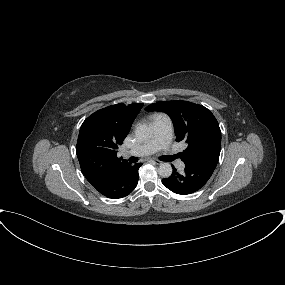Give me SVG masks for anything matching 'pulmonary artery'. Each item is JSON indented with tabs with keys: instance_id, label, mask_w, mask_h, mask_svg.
I'll use <instances>...</instances> for the list:
<instances>
[{
	"instance_id": "obj_1",
	"label": "pulmonary artery",
	"mask_w": 285,
	"mask_h": 285,
	"mask_svg": "<svg viewBox=\"0 0 285 285\" xmlns=\"http://www.w3.org/2000/svg\"><path fill=\"white\" fill-rule=\"evenodd\" d=\"M153 135L140 146L129 151L130 154L137 156H146L162 149L166 153H171L172 123L165 114H158L152 118ZM179 169L184 168L182 161H177Z\"/></svg>"
}]
</instances>
